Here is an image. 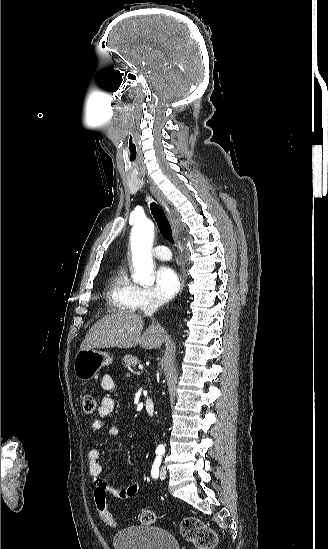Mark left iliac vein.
Masks as SVG:
<instances>
[{"mask_svg": "<svg viewBox=\"0 0 328 549\" xmlns=\"http://www.w3.org/2000/svg\"><path fill=\"white\" fill-rule=\"evenodd\" d=\"M160 478L163 480L166 478V468L165 466H162L160 469Z\"/></svg>", "mask_w": 328, "mask_h": 549, "instance_id": "obj_1", "label": "left iliac vein"}]
</instances>
